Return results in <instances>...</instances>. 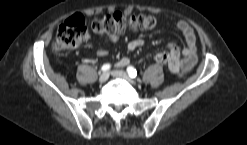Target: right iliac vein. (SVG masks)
Here are the masks:
<instances>
[{
	"label": "right iliac vein",
	"mask_w": 247,
	"mask_h": 145,
	"mask_svg": "<svg viewBox=\"0 0 247 145\" xmlns=\"http://www.w3.org/2000/svg\"><path fill=\"white\" fill-rule=\"evenodd\" d=\"M108 79H109V73H108V72H103V73L100 75L99 82H100V83H104V82H106Z\"/></svg>",
	"instance_id": "63e3f726"
}]
</instances>
